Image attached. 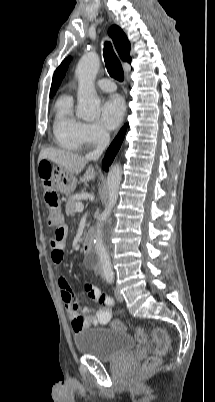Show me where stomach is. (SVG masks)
I'll return each instance as SVG.
<instances>
[{
    "label": "stomach",
    "mask_w": 215,
    "mask_h": 402,
    "mask_svg": "<svg viewBox=\"0 0 215 402\" xmlns=\"http://www.w3.org/2000/svg\"><path fill=\"white\" fill-rule=\"evenodd\" d=\"M50 180L58 192L67 196L70 195L76 187V178L74 174L59 166H52Z\"/></svg>",
    "instance_id": "0dacf381"
}]
</instances>
